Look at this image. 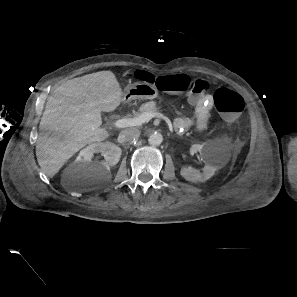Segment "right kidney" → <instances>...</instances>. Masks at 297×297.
<instances>
[{
    "instance_id": "right-kidney-1",
    "label": "right kidney",
    "mask_w": 297,
    "mask_h": 297,
    "mask_svg": "<svg viewBox=\"0 0 297 297\" xmlns=\"http://www.w3.org/2000/svg\"><path fill=\"white\" fill-rule=\"evenodd\" d=\"M95 153L104 154L105 161L92 164V157ZM121 154L122 150L117 145L111 142H99L90 144L82 149L79 153L78 161L91 168L93 172L99 171L102 167L110 170V167L115 166L119 162Z\"/></svg>"
}]
</instances>
